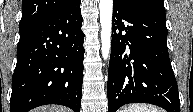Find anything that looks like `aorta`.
I'll list each match as a JSON object with an SVG mask.
<instances>
[{"instance_id": "1", "label": "aorta", "mask_w": 193, "mask_h": 112, "mask_svg": "<svg viewBox=\"0 0 193 112\" xmlns=\"http://www.w3.org/2000/svg\"><path fill=\"white\" fill-rule=\"evenodd\" d=\"M102 57L109 59L111 50L113 0H99Z\"/></svg>"}]
</instances>
